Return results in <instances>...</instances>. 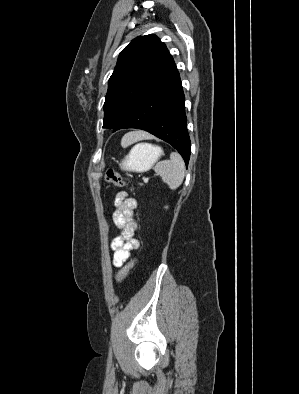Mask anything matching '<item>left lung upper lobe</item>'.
Listing matches in <instances>:
<instances>
[{"mask_svg":"<svg viewBox=\"0 0 299 394\" xmlns=\"http://www.w3.org/2000/svg\"><path fill=\"white\" fill-rule=\"evenodd\" d=\"M173 63L166 45L156 35L132 40L121 51L108 82L103 128H114L149 85Z\"/></svg>","mask_w":299,"mask_h":394,"instance_id":"5c2ea615","label":"left lung upper lobe"}]
</instances>
